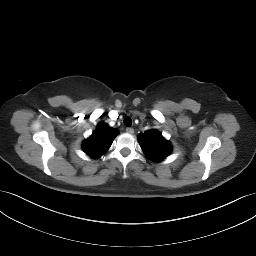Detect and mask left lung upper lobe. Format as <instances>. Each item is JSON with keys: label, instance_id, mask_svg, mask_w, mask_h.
<instances>
[{"label": "left lung upper lobe", "instance_id": "1", "mask_svg": "<svg viewBox=\"0 0 256 256\" xmlns=\"http://www.w3.org/2000/svg\"><path fill=\"white\" fill-rule=\"evenodd\" d=\"M138 141L146 156L154 161H161L172 150L170 143L157 130H148L139 134Z\"/></svg>", "mask_w": 256, "mask_h": 256}]
</instances>
